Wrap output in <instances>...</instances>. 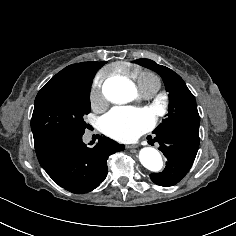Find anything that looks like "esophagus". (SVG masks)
Listing matches in <instances>:
<instances>
[{"instance_id":"obj_1","label":"esophagus","mask_w":236,"mask_h":236,"mask_svg":"<svg viewBox=\"0 0 236 236\" xmlns=\"http://www.w3.org/2000/svg\"><path fill=\"white\" fill-rule=\"evenodd\" d=\"M136 147L135 145H129L128 148H134Z\"/></svg>"}]
</instances>
